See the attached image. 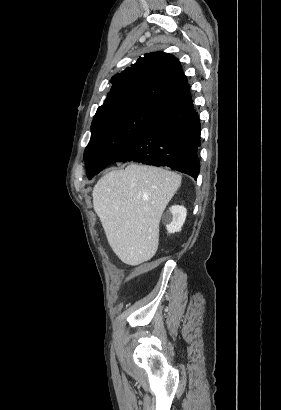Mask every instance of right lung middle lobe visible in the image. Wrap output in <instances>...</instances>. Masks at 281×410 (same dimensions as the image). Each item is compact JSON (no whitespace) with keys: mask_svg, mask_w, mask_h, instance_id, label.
I'll list each match as a JSON object with an SVG mask.
<instances>
[{"mask_svg":"<svg viewBox=\"0 0 281 410\" xmlns=\"http://www.w3.org/2000/svg\"><path fill=\"white\" fill-rule=\"evenodd\" d=\"M162 111L145 103L121 104L97 111L84 152L87 177L91 179L118 158Z\"/></svg>","mask_w":281,"mask_h":410,"instance_id":"1","label":"right lung middle lobe"}]
</instances>
